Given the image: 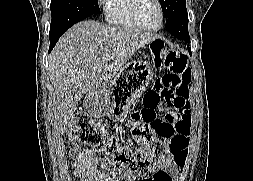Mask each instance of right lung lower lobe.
I'll list each match as a JSON object with an SVG mask.
<instances>
[{"label":"right lung lower lobe","mask_w":253,"mask_h":181,"mask_svg":"<svg viewBox=\"0 0 253 181\" xmlns=\"http://www.w3.org/2000/svg\"><path fill=\"white\" fill-rule=\"evenodd\" d=\"M64 32L58 33V34H56L54 36H50V48H49V52L53 49V47L56 45L58 39L63 35Z\"/></svg>","instance_id":"obj_1"}]
</instances>
